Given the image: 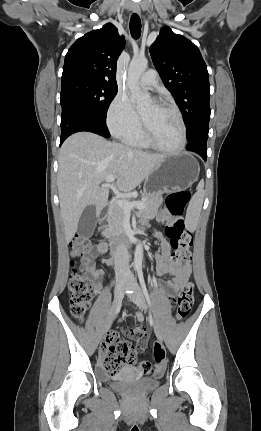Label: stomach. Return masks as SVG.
<instances>
[{
  "mask_svg": "<svg viewBox=\"0 0 261 431\" xmlns=\"http://www.w3.org/2000/svg\"><path fill=\"white\" fill-rule=\"evenodd\" d=\"M199 171L197 160L189 153L166 155L146 177L145 194L187 189L198 179Z\"/></svg>",
  "mask_w": 261,
  "mask_h": 431,
  "instance_id": "0dacf381",
  "label": "stomach"
}]
</instances>
